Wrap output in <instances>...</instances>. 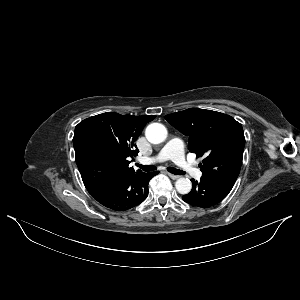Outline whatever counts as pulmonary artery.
Segmentation results:
<instances>
[{"label":"pulmonary artery","mask_w":300,"mask_h":300,"mask_svg":"<svg viewBox=\"0 0 300 300\" xmlns=\"http://www.w3.org/2000/svg\"><path fill=\"white\" fill-rule=\"evenodd\" d=\"M172 160L177 166L185 171L190 176L199 178L201 172L195 165L185 159L184 145L179 139H171L161 150V152L154 157H142L139 159L141 164H152L156 161Z\"/></svg>","instance_id":"obj_1"}]
</instances>
